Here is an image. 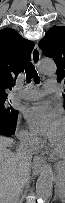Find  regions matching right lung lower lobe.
I'll return each mask as SVG.
<instances>
[{
  "mask_svg": "<svg viewBox=\"0 0 65 203\" xmlns=\"http://www.w3.org/2000/svg\"><path fill=\"white\" fill-rule=\"evenodd\" d=\"M16 122H2L0 121V135L10 136L15 132Z\"/></svg>",
  "mask_w": 65,
  "mask_h": 203,
  "instance_id": "obj_1",
  "label": "right lung lower lobe"
}]
</instances>
